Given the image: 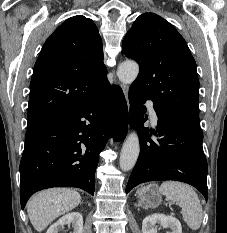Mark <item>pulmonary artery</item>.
Segmentation results:
<instances>
[{
	"label": "pulmonary artery",
	"instance_id": "obj_1",
	"mask_svg": "<svg viewBox=\"0 0 227 233\" xmlns=\"http://www.w3.org/2000/svg\"><path fill=\"white\" fill-rule=\"evenodd\" d=\"M147 107H148V109H149L151 119H152L154 122H156V121H157V114H156V112H155V110H154L153 102L148 101V102H147Z\"/></svg>",
	"mask_w": 227,
	"mask_h": 233
}]
</instances>
